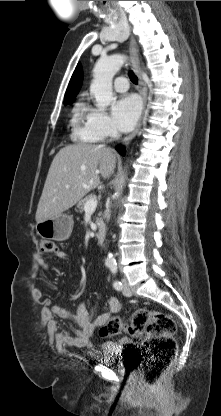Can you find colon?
Returning <instances> with one entry per match:
<instances>
[{"mask_svg":"<svg viewBox=\"0 0 221 416\" xmlns=\"http://www.w3.org/2000/svg\"><path fill=\"white\" fill-rule=\"evenodd\" d=\"M41 250L45 254H53L56 252V243L43 240ZM176 330L177 325L171 315L141 308L129 320L118 316L110 318L99 328V333L103 337H113L121 333L144 335L140 353L141 377L145 383L155 384L176 355Z\"/></svg>","mask_w":221,"mask_h":416,"instance_id":"obj_1","label":"colon"}]
</instances>
